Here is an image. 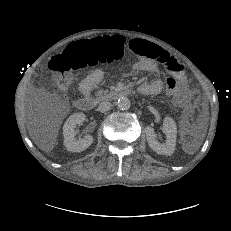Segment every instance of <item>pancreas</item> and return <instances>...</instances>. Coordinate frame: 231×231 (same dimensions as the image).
Wrapping results in <instances>:
<instances>
[{
    "mask_svg": "<svg viewBox=\"0 0 231 231\" xmlns=\"http://www.w3.org/2000/svg\"><path fill=\"white\" fill-rule=\"evenodd\" d=\"M107 93V91H104V90H99V91H97L96 92V96H102L103 94H106Z\"/></svg>",
    "mask_w": 231,
    "mask_h": 231,
    "instance_id": "obj_1",
    "label": "pancreas"
}]
</instances>
